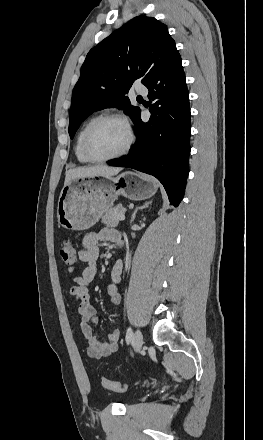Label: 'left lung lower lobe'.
<instances>
[{
  "mask_svg": "<svg viewBox=\"0 0 263 440\" xmlns=\"http://www.w3.org/2000/svg\"><path fill=\"white\" fill-rule=\"evenodd\" d=\"M145 86L153 101L150 120L143 122L139 113L134 118L137 140L129 154L107 163L155 176L177 207L189 173L191 134L189 93L179 53Z\"/></svg>",
  "mask_w": 263,
  "mask_h": 440,
  "instance_id": "obj_1",
  "label": "left lung lower lobe"
}]
</instances>
